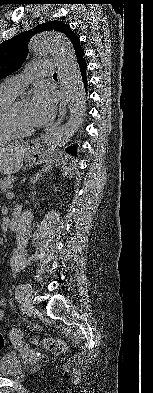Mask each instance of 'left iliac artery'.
<instances>
[{"label":"left iliac artery","instance_id":"left-iliac-artery-1","mask_svg":"<svg viewBox=\"0 0 153 393\" xmlns=\"http://www.w3.org/2000/svg\"><path fill=\"white\" fill-rule=\"evenodd\" d=\"M29 288V285H19L16 289L15 292V298L17 301H20L23 299L24 294L26 293L27 289Z\"/></svg>","mask_w":153,"mask_h":393}]
</instances>
